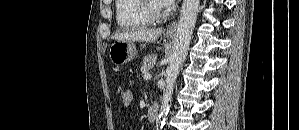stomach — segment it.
<instances>
[{
	"label": "stomach",
	"instance_id": "1",
	"mask_svg": "<svg viewBox=\"0 0 299 130\" xmlns=\"http://www.w3.org/2000/svg\"><path fill=\"white\" fill-rule=\"evenodd\" d=\"M167 38L172 35H166ZM136 46L133 41L116 40L109 49V58L115 65H122L133 60L136 56Z\"/></svg>",
	"mask_w": 299,
	"mask_h": 130
}]
</instances>
